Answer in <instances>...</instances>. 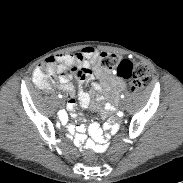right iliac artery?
<instances>
[{
  "mask_svg": "<svg viewBox=\"0 0 183 183\" xmlns=\"http://www.w3.org/2000/svg\"><path fill=\"white\" fill-rule=\"evenodd\" d=\"M59 98H62V95H59ZM58 114H59V117H61V118H63L65 115V113L62 111H60Z\"/></svg>",
  "mask_w": 183,
  "mask_h": 183,
  "instance_id": "obj_1",
  "label": "right iliac artery"
}]
</instances>
